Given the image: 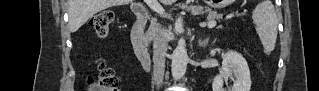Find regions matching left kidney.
<instances>
[{
	"label": "left kidney",
	"mask_w": 319,
	"mask_h": 91,
	"mask_svg": "<svg viewBox=\"0 0 319 91\" xmlns=\"http://www.w3.org/2000/svg\"><path fill=\"white\" fill-rule=\"evenodd\" d=\"M233 80V86L228 91H250V70L245 58L236 51H228L223 55L222 71L212 83L213 91H226L224 80ZM235 78V79H234Z\"/></svg>",
	"instance_id": "obj_1"
}]
</instances>
